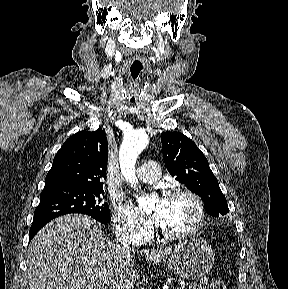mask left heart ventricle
Returning a JSON list of instances; mask_svg holds the SVG:
<instances>
[{"instance_id":"left-heart-ventricle-1","label":"left heart ventricle","mask_w":288,"mask_h":289,"mask_svg":"<svg viewBox=\"0 0 288 289\" xmlns=\"http://www.w3.org/2000/svg\"><path fill=\"white\" fill-rule=\"evenodd\" d=\"M152 211L159 214V224L170 232L190 229L197 218L195 203L186 196L157 200Z\"/></svg>"}]
</instances>
